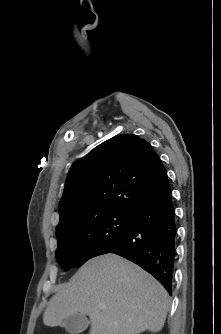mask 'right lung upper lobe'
Wrapping results in <instances>:
<instances>
[{
    "instance_id": "right-lung-upper-lobe-1",
    "label": "right lung upper lobe",
    "mask_w": 221,
    "mask_h": 334,
    "mask_svg": "<svg viewBox=\"0 0 221 334\" xmlns=\"http://www.w3.org/2000/svg\"><path fill=\"white\" fill-rule=\"evenodd\" d=\"M167 180L147 141L132 134L110 138L72 164L59 203L57 237L102 214L132 213Z\"/></svg>"
}]
</instances>
